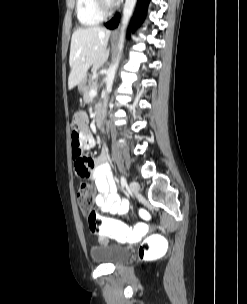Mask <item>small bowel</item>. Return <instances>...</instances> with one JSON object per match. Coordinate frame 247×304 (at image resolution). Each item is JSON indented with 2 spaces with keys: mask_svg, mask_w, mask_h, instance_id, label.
Listing matches in <instances>:
<instances>
[{
  "mask_svg": "<svg viewBox=\"0 0 247 304\" xmlns=\"http://www.w3.org/2000/svg\"><path fill=\"white\" fill-rule=\"evenodd\" d=\"M71 152L75 161V169L83 179L92 181L97 190L95 204L102 213L121 216L129 207V201L117 192V185L111 167L107 162V150L103 149L97 158H87L84 150L94 147L95 140L83 125L85 118L82 112H71ZM81 151V152H80ZM77 159H83L81 164Z\"/></svg>",
  "mask_w": 247,
  "mask_h": 304,
  "instance_id": "small-bowel-1",
  "label": "small bowel"
}]
</instances>
